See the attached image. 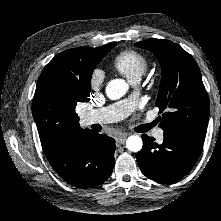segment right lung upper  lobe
I'll list each match as a JSON object with an SVG mask.
<instances>
[{
	"label": "right lung upper lobe",
	"instance_id": "cb5924a9",
	"mask_svg": "<svg viewBox=\"0 0 221 221\" xmlns=\"http://www.w3.org/2000/svg\"><path fill=\"white\" fill-rule=\"evenodd\" d=\"M105 46L63 51L43 69L32 102V113L44 153L73 131H83L75 113L76 104L82 102L77 80L88 64L101 56Z\"/></svg>",
	"mask_w": 221,
	"mask_h": 221
}]
</instances>
